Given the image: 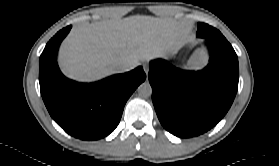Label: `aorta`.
I'll return each instance as SVG.
<instances>
[{
  "label": "aorta",
  "mask_w": 279,
  "mask_h": 166,
  "mask_svg": "<svg viewBox=\"0 0 279 166\" xmlns=\"http://www.w3.org/2000/svg\"><path fill=\"white\" fill-rule=\"evenodd\" d=\"M138 94L141 97H149L152 94V87L149 82H144L138 87Z\"/></svg>",
  "instance_id": "obj_1"
}]
</instances>
